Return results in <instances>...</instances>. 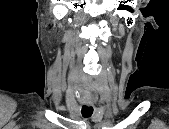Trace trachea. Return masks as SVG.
Returning a JSON list of instances; mask_svg holds the SVG:
<instances>
[{
  "instance_id": "trachea-1",
  "label": "trachea",
  "mask_w": 169,
  "mask_h": 129,
  "mask_svg": "<svg viewBox=\"0 0 169 129\" xmlns=\"http://www.w3.org/2000/svg\"><path fill=\"white\" fill-rule=\"evenodd\" d=\"M81 113L84 118H89L93 114V107L83 105Z\"/></svg>"
}]
</instances>
